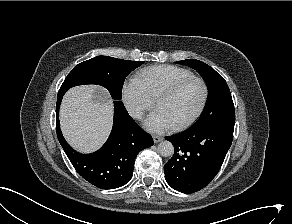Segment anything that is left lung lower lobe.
I'll return each mask as SVG.
<instances>
[{
	"label": "left lung lower lobe",
	"instance_id": "obj_1",
	"mask_svg": "<svg viewBox=\"0 0 292 224\" xmlns=\"http://www.w3.org/2000/svg\"><path fill=\"white\" fill-rule=\"evenodd\" d=\"M235 115L166 137L175 147L165 164L167 183L183 193L196 192L216 176L233 139Z\"/></svg>",
	"mask_w": 292,
	"mask_h": 224
}]
</instances>
